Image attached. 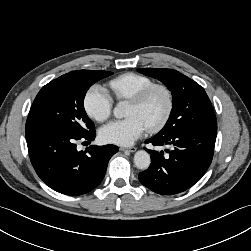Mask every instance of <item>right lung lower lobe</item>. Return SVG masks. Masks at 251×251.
Wrapping results in <instances>:
<instances>
[{"label":"right lung lower lobe","mask_w":251,"mask_h":251,"mask_svg":"<svg viewBox=\"0 0 251 251\" xmlns=\"http://www.w3.org/2000/svg\"><path fill=\"white\" fill-rule=\"evenodd\" d=\"M26 141L31 163L40 179L66 195L90 192L103 180L115 145L94 146L85 152L76 149L78 140L91 143L95 131L76 135L37 122H26Z\"/></svg>","instance_id":"obj_1"}]
</instances>
